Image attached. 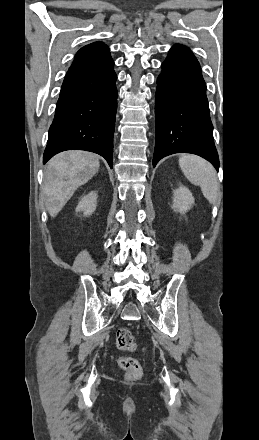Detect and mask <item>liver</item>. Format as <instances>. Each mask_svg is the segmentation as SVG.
Returning <instances> with one entry per match:
<instances>
[{
    "label": "liver",
    "mask_w": 259,
    "mask_h": 440,
    "mask_svg": "<svg viewBox=\"0 0 259 440\" xmlns=\"http://www.w3.org/2000/svg\"><path fill=\"white\" fill-rule=\"evenodd\" d=\"M99 157L87 151H65L55 155L44 171L43 196L46 209L55 218L73 196L99 170Z\"/></svg>",
    "instance_id": "obj_1"
}]
</instances>
